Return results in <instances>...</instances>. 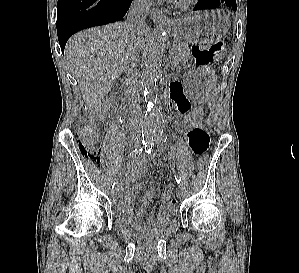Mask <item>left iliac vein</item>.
Returning a JSON list of instances; mask_svg holds the SVG:
<instances>
[{
	"label": "left iliac vein",
	"mask_w": 299,
	"mask_h": 273,
	"mask_svg": "<svg viewBox=\"0 0 299 273\" xmlns=\"http://www.w3.org/2000/svg\"><path fill=\"white\" fill-rule=\"evenodd\" d=\"M176 194H177L178 197H182L183 196V188L181 186L177 187Z\"/></svg>",
	"instance_id": "4c4485c4"
}]
</instances>
